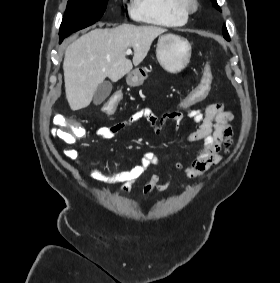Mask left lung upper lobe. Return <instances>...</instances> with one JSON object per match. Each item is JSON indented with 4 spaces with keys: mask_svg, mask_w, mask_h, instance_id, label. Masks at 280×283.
<instances>
[{
    "mask_svg": "<svg viewBox=\"0 0 280 283\" xmlns=\"http://www.w3.org/2000/svg\"><path fill=\"white\" fill-rule=\"evenodd\" d=\"M211 1H212L213 6H214L216 9L221 10L220 7L218 6L216 0H211ZM223 35H224V37H225L226 39H228L229 35H228L227 29H226L225 26H223Z\"/></svg>",
    "mask_w": 280,
    "mask_h": 283,
    "instance_id": "obj_1",
    "label": "left lung upper lobe"
}]
</instances>
